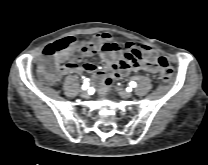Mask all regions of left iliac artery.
<instances>
[{
    "label": "left iliac artery",
    "instance_id": "1",
    "mask_svg": "<svg viewBox=\"0 0 208 165\" xmlns=\"http://www.w3.org/2000/svg\"><path fill=\"white\" fill-rule=\"evenodd\" d=\"M136 85H137V84H136L134 81L130 82V86H131V87H136Z\"/></svg>",
    "mask_w": 208,
    "mask_h": 165
}]
</instances>
